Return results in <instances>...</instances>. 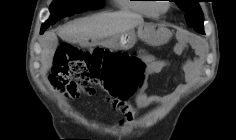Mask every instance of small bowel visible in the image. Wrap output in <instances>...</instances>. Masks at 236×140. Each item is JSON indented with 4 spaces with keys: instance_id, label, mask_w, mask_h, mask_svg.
<instances>
[{
    "instance_id": "1",
    "label": "small bowel",
    "mask_w": 236,
    "mask_h": 140,
    "mask_svg": "<svg viewBox=\"0 0 236 140\" xmlns=\"http://www.w3.org/2000/svg\"><path fill=\"white\" fill-rule=\"evenodd\" d=\"M185 49L183 40L176 45L175 51L177 54H181ZM141 58L145 63V69L148 74H159L164 68L170 66V62L165 59L157 58L148 53H142ZM199 76V64L196 60H187L183 63L179 79L182 83L178 84L175 90L166 95H147L142 92L138 95L136 101V107L129 104L126 101H122L116 104H112L114 110L120 112L124 117L120 121V125H126L139 115V110L147 108L154 104L167 105L171 103L178 95H180L190 83H194Z\"/></svg>"
}]
</instances>
